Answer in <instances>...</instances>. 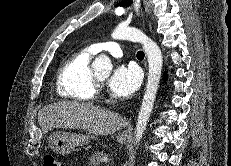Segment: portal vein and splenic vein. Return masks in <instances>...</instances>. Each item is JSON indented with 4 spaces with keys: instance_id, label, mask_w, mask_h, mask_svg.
<instances>
[{
    "instance_id": "portal-vein-and-splenic-vein-1",
    "label": "portal vein and splenic vein",
    "mask_w": 231,
    "mask_h": 166,
    "mask_svg": "<svg viewBox=\"0 0 231 166\" xmlns=\"http://www.w3.org/2000/svg\"><path fill=\"white\" fill-rule=\"evenodd\" d=\"M103 162H104V163H107V162H108V159H107V158H104V159H103Z\"/></svg>"
}]
</instances>
